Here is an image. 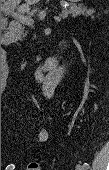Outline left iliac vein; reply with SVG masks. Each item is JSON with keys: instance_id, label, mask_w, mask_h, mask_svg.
<instances>
[{"instance_id": "obj_1", "label": "left iliac vein", "mask_w": 109, "mask_h": 170, "mask_svg": "<svg viewBox=\"0 0 109 170\" xmlns=\"http://www.w3.org/2000/svg\"><path fill=\"white\" fill-rule=\"evenodd\" d=\"M76 170H84L82 165H76Z\"/></svg>"}]
</instances>
